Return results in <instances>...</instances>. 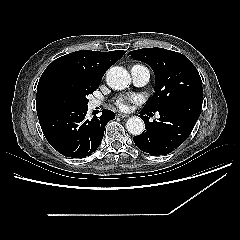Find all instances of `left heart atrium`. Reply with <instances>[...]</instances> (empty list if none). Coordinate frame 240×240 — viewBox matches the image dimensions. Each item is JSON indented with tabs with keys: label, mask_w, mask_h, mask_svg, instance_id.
Segmentation results:
<instances>
[{
	"label": "left heart atrium",
	"mask_w": 240,
	"mask_h": 240,
	"mask_svg": "<svg viewBox=\"0 0 240 240\" xmlns=\"http://www.w3.org/2000/svg\"><path fill=\"white\" fill-rule=\"evenodd\" d=\"M136 100L135 97H118L115 100V105L120 110H127L129 108V103L134 102Z\"/></svg>",
	"instance_id": "left-heart-atrium-1"
}]
</instances>
